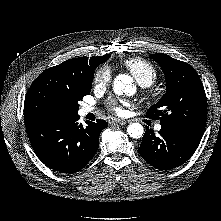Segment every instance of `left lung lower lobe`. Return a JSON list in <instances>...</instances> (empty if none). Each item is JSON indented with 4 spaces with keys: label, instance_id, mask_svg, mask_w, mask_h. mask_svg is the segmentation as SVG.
Returning a JSON list of instances; mask_svg holds the SVG:
<instances>
[{
    "label": "left lung lower lobe",
    "instance_id": "obj_1",
    "mask_svg": "<svg viewBox=\"0 0 221 221\" xmlns=\"http://www.w3.org/2000/svg\"><path fill=\"white\" fill-rule=\"evenodd\" d=\"M202 136L183 130L161 128L159 135L146 127L139 148L141 157L160 170L176 168L196 151Z\"/></svg>",
    "mask_w": 221,
    "mask_h": 221
}]
</instances>
